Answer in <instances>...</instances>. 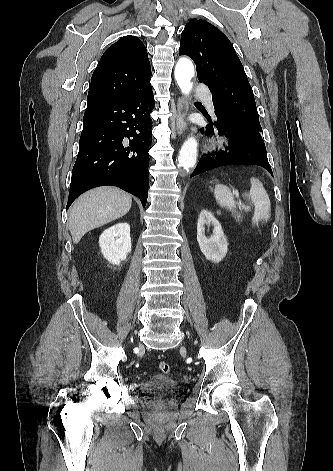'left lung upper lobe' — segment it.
<instances>
[{
  "label": "left lung upper lobe",
  "mask_w": 333,
  "mask_h": 471,
  "mask_svg": "<svg viewBox=\"0 0 333 471\" xmlns=\"http://www.w3.org/2000/svg\"><path fill=\"white\" fill-rule=\"evenodd\" d=\"M184 54L196 63L198 80L209 87L215 115L263 140L253 90L229 39L209 22L191 19L181 34L179 55Z\"/></svg>",
  "instance_id": "left-lung-upper-lobe-1"
}]
</instances>
